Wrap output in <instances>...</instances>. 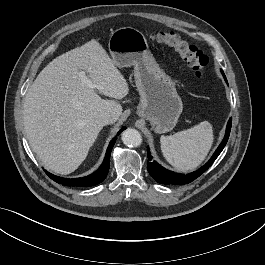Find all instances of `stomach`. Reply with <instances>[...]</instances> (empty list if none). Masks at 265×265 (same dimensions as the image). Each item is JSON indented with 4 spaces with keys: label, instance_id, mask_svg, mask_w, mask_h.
Returning <instances> with one entry per match:
<instances>
[{
    "label": "stomach",
    "instance_id": "obj_1",
    "mask_svg": "<svg viewBox=\"0 0 265 265\" xmlns=\"http://www.w3.org/2000/svg\"><path fill=\"white\" fill-rule=\"evenodd\" d=\"M114 64L134 66V79L140 94L137 114L150 121L153 130H172L183 110L173 80L160 69L142 32L132 27L114 31L108 43Z\"/></svg>",
    "mask_w": 265,
    "mask_h": 265
}]
</instances>
